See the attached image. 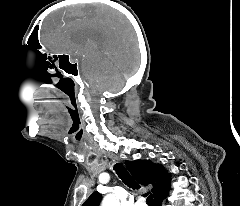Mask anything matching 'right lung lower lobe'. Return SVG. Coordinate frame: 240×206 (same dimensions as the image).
Wrapping results in <instances>:
<instances>
[{"label":"right lung lower lobe","mask_w":240,"mask_h":206,"mask_svg":"<svg viewBox=\"0 0 240 206\" xmlns=\"http://www.w3.org/2000/svg\"><path fill=\"white\" fill-rule=\"evenodd\" d=\"M166 196H167V194L158 198V199H156L155 200V206H161V204H162V202H163V200L165 199Z\"/></svg>","instance_id":"98d812e1"}]
</instances>
